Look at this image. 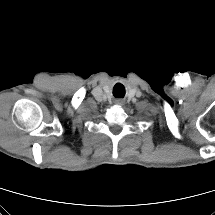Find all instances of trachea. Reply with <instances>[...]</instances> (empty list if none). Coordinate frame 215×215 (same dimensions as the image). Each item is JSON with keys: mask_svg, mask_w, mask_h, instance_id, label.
Returning a JSON list of instances; mask_svg holds the SVG:
<instances>
[{"mask_svg": "<svg viewBox=\"0 0 215 215\" xmlns=\"http://www.w3.org/2000/svg\"><path fill=\"white\" fill-rule=\"evenodd\" d=\"M113 94L115 97H123L125 95V88L121 84L115 85L113 89Z\"/></svg>", "mask_w": 215, "mask_h": 215, "instance_id": "3493384b", "label": "trachea"}]
</instances>
